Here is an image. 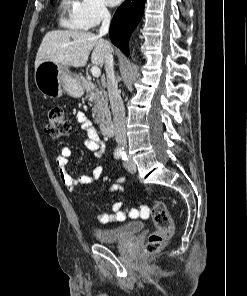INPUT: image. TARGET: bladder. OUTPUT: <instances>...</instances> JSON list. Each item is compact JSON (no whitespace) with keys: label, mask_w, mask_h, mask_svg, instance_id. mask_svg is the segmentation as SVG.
Masks as SVG:
<instances>
[{"label":"bladder","mask_w":247,"mask_h":296,"mask_svg":"<svg viewBox=\"0 0 247 296\" xmlns=\"http://www.w3.org/2000/svg\"><path fill=\"white\" fill-rule=\"evenodd\" d=\"M142 222H129L123 226L110 229H96L94 236L99 243L111 244L128 240L143 229Z\"/></svg>","instance_id":"bladder-1"}]
</instances>
